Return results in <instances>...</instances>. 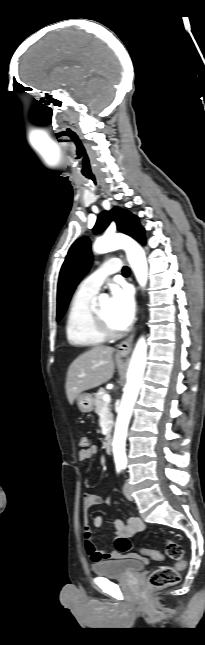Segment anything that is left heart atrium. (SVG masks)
Instances as JSON below:
<instances>
[{
  "mask_svg": "<svg viewBox=\"0 0 205 645\" xmlns=\"http://www.w3.org/2000/svg\"><path fill=\"white\" fill-rule=\"evenodd\" d=\"M110 305L114 321L119 329L127 328L135 314V300L127 287L114 286L111 289Z\"/></svg>",
  "mask_w": 205,
  "mask_h": 645,
  "instance_id": "left-heart-atrium-1",
  "label": "left heart atrium"
}]
</instances>
